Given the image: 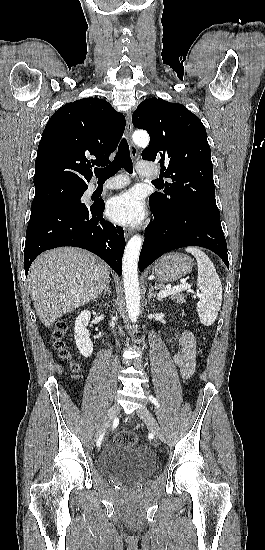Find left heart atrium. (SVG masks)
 Instances as JSON below:
<instances>
[{
    "label": "left heart atrium",
    "instance_id": "obj_1",
    "mask_svg": "<svg viewBox=\"0 0 265 550\" xmlns=\"http://www.w3.org/2000/svg\"><path fill=\"white\" fill-rule=\"evenodd\" d=\"M106 213L109 219L121 225H135L145 214L141 197L134 191H126L111 198Z\"/></svg>",
    "mask_w": 265,
    "mask_h": 550
}]
</instances>
